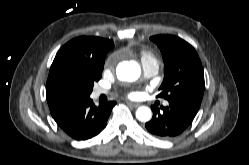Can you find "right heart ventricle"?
<instances>
[{"mask_svg":"<svg viewBox=\"0 0 249 165\" xmlns=\"http://www.w3.org/2000/svg\"><path fill=\"white\" fill-rule=\"evenodd\" d=\"M139 55H140L142 60H154L156 62V59L154 58L152 53L147 51V50H141L139 52Z\"/></svg>","mask_w":249,"mask_h":165,"instance_id":"obj_1","label":"right heart ventricle"}]
</instances>
